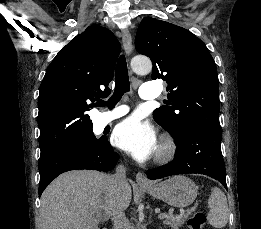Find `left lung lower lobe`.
<instances>
[{"label":"left lung lower lobe","mask_w":261,"mask_h":229,"mask_svg":"<svg viewBox=\"0 0 261 229\" xmlns=\"http://www.w3.org/2000/svg\"><path fill=\"white\" fill-rule=\"evenodd\" d=\"M222 132L206 124L190 127L178 146L175 159L161 167L147 170L155 180L178 174L199 173L218 180L226 189V169L221 153Z\"/></svg>","instance_id":"1"}]
</instances>
